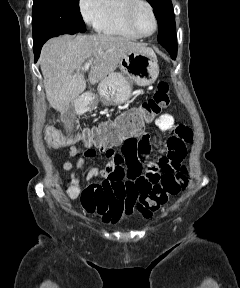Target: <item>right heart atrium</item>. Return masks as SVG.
<instances>
[{
	"mask_svg": "<svg viewBox=\"0 0 240 288\" xmlns=\"http://www.w3.org/2000/svg\"><path fill=\"white\" fill-rule=\"evenodd\" d=\"M106 0H79L78 7L84 21L96 27L103 15Z\"/></svg>",
	"mask_w": 240,
	"mask_h": 288,
	"instance_id": "obj_1",
	"label": "right heart atrium"
}]
</instances>
